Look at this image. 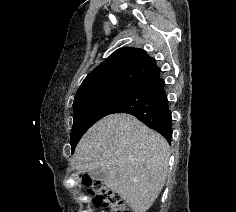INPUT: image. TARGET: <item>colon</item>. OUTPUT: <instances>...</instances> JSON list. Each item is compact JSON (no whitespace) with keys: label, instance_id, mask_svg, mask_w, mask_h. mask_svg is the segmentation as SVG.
I'll return each mask as SVG.
<instances>
[{"label":"colon","instance_id":"5ec220e1","mask_svg":"<svg viewBox=\"0 0 236 212\" xmlns=\"http://www.w3.org/2000/svg\"><path fill=\"white\" fill-rule=\"evenodd\" d=\"M81 182L97 206L104 207L107 212H131L125 201L113 191L106 188L100 181L84 175Z\"/></svg>","mask_w":236,"mask_h":212}]
</instances>
